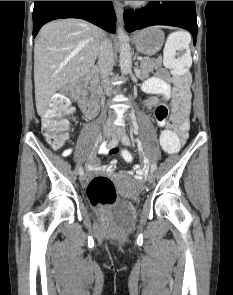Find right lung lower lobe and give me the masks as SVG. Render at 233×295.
Here are the masks:
<instances>
[{
    "label": "right lung lower lobe",
    "instance_id": "1",
    "mask_svg": "<svg viewBox=\"0 0 233 295\" xmlns=\"http://www.w3.org/2000/svg\"><path fill=\"white\" fill-rule=\"evenodd\" d=\"M81 18L115 33L116 15L110 1H35L33 37L45 23L62 18Z\"/></svg>",
    "mask_w": 233,
    "mask_h": 295
}]
</instances>
